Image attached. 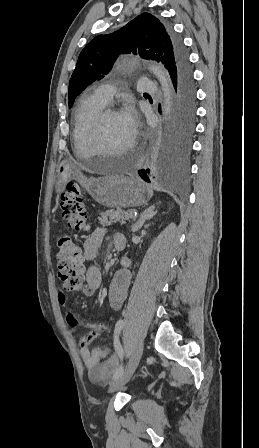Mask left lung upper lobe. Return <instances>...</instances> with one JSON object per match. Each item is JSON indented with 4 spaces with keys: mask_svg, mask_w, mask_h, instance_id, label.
I'll use <instances>...</instances> for the list:
<instances>
[{
    "mask_svg": "<svg viewBox=\"0 0 259 448\" xmlns=\"http://www.w3.org/2000/svg\"><path fill=\"white\" fill-rule=\"evenodd\" d=\"M139 54L144 59L161 61L170 68L176 61L179 48L170 31L150 13H142L119 31L99 35L81 51L69 82V107L75 98L92 82L103 78L121 53Z\"/></svg>",
    "mask_w": 259,
    "mask_h": 448,
    "instance_id": "5c2ea615",
    "label": "left lung upper lobe"
}]
</instances>
